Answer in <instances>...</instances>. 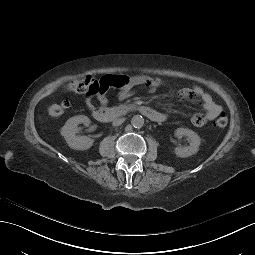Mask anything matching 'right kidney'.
<instances>
[{
    "label": "right kidney",
    "mask_w": 255,
    "mask_h": 255,
    "mask_svg": "<svg viewBox=\"0 0 255 255\" xmlns=\"http://www.w3.org/2000/svg\"><path fill=\"white\" fill-rule=\"evenodd\" d=\"M79 124L89 126L90 120L86 116H75L69 119L62 128L61 135L73 150L83 151L90 149L94 143V139L76 135Z\"/></svg>",
    "instance_id": "right-kidney-1"
}]
</instances>
